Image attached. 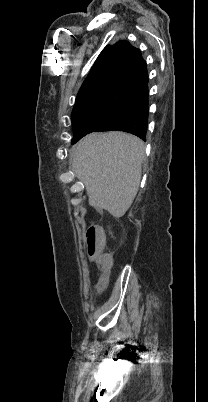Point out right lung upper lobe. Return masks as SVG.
I'll return each mask as SVG.
<instances>
[{
	"mask_svg": "<svg viewBox=\"0 0 208 402\" xmlns=\"http://www.w3.org/2000/svg\"><path fill=\"white\" fill-rule=\"evenodd\" d=\"M138 52L139 50L127 41H119L113 47L104 48L83 82L77 97L102 85H110Z\"/></svg>",
	"mask_w": 208,
	"mask_h": 402,
	"instance_id": "1",
	"label": "right lung upper lobe"
}]
</instances>
